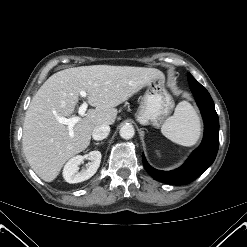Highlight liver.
Listing matches in <instances>:
<instances>
[{
    "instance_id": "liver-1",
    "label": "liver",
    "mask_w": 247,
    "mask_h": 247,
    "mask_svg": "<svg viewBox=\"0 0 247 247\" xmlns=\"http://www.w3.org/2000/svg\"><path fill=\"white\" fill-rule=\"evenodd\" d=\"M161 75L155 68L92 65L50 76L32 98L24 119L22 144L31 168L42 180L53 181L68 159L88 147L96 126L114 124L116 106ZM82 90L95 108L80 118L70 136L57 116L73 114Z\"/></svg>"
}]
</instances>
